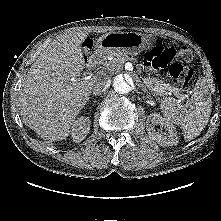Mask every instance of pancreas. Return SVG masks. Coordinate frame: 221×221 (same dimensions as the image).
<instances>
[{"label":"pancreas","mask_w":221,"mask_h":221,"mask_svg":"<svg viewBox=\"0 0 221 221\" xmlns=\"http://www.w3.org/2000/svg\"><path fill=\"white\" fill-rule=\"evenodd\" d=\"M126 61H134V58L128 56L127 54L114 53L109 56V59L104 62V65L108 70H114L118 68ZM144 85L154 91L157 95L165 96L168 91L178 92V89L171 87L169 84L164 83L162 80L156 77H147L143 79Z\"/></svg>","instance_id":"obj_1"}]
</instances>
